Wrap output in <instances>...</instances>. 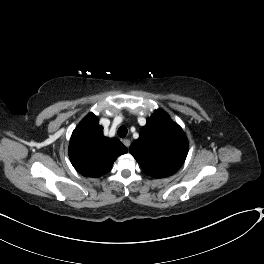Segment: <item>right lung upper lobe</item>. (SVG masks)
<instances>
[{"label": "right lung upper lobe", "mask_w": 264, "mask_h": 264, "mask_svg": "<svg viewBox=\"0 0 264 264\" xmlns=\"http://www.w3.org/2000/svg\"><path fill=\"white\" fill-rule=\"evenodd\" d=\"M125 153L127 148L119 140L103 135V127L93 113H89L72 133L70 161L84 176L104 175L112 168L117 157Z\"/></svg>", "instance_id": "cb5924a9"}]
</instances>
